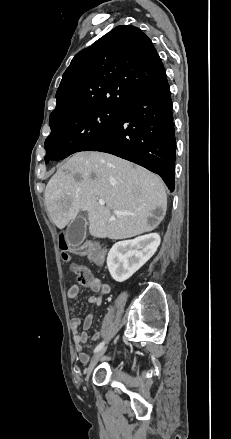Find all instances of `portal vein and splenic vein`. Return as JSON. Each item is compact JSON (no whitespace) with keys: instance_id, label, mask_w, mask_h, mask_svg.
I'll use <instances>...</instances> for the list:
<instances>
[{"instance_id":"portal-vein-and-splenic-vein-1","label":"portal vein and splenic vein","mask_w":231,"mask_h":439,"mask_svg":"<svg viewBox=\"0 0 231 439\" xmlns=\"http://www.w3.org/2000/svg\"><path fill=\"white\" fill-rule=\"evenodd\" d=\"M99 204L100 205H104L105 204V202L103 201V200H99ZM115 214H128V213H122V212H120V211H117V210H115V211H113Z\"/></svg>"}]
</instances>
